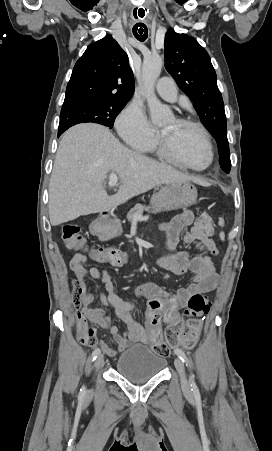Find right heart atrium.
I'll return each mask as SVG.
<instances>
[{"instance_id":"d8ad5b80","label":"right heart atrium","mask_w":272,"mask_h":451,"mask_svg":"<svg viewBox=\"0 0 272 451\" xmlns=\"http://www.w3.org/2000/svg\"><path fill=\"white\" fill-rule=\"evenodd\" d=\"M117 126L125 141L136 148H146L157 138V129L149 121L145 110L134 103L122 111Z\"/></svg>"}]
</instances>
